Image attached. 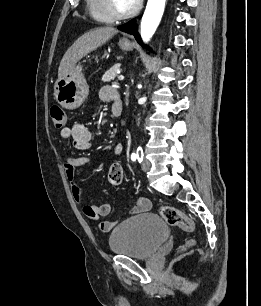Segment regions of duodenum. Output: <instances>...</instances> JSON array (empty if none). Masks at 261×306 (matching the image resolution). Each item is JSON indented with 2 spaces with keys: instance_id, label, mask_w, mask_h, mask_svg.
<instances>
[{
  "instance_id": "obj_1",
  "label": "duodenum",
  "mask_w": 261,
  "mask_h": 306,
  "mask_svg": "<svg viewBox=\"0 0 261 306\" xmlns=\"http://www.w3.org/2000/svg\"><path fill=\"white\" fill-rule=\"evenodd\" d=\"M113 113L115 116H119L121 113V107L119 105L113 106Z\"/></svg>"
}]
</instances>
